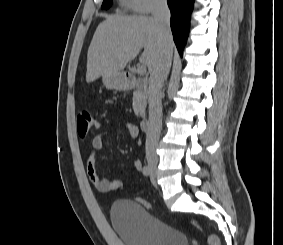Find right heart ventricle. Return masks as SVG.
Returning a JSON list of instances; mask_svg holds the SVG:
<instances>
[{"instance_id":"e07e8e85","label":"right heart ventricle","mask_w":283,"mask_h":245,"mask_svg":"<svg viewBox=\"0 0 283 245\" xmlns=\"http://www.w3.org/2000/svg\"><path fill=\"white\" fill-rule=\"evenodd\" d=\"M120 2L124 7L129 8V5L126 0H120Z\"/></svg>"}]
</instances>
